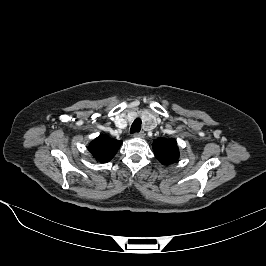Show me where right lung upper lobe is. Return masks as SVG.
Segmentation results:
<instances>
[{
	"label": "right lung upper lobe",
	"mask_w": 266,
	"mask_h": 266,
	"mask_svg": "<svg viewBox=\"0 0 266 266\" xmlns=\"http://www.w3.org/2000/svg\"><path fill=\"white\" fill-rule=\"evenodd\" d=\"M121 143L122 141L112 139L102 134L90 143L88 150L97 161L105 163L114 157Z\"/></svg>",
	"instance_id": "obj_1"
}]
</instances>
